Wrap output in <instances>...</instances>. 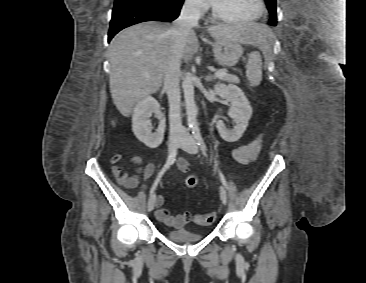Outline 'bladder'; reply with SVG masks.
<instances>
[{"label": "bladder", "instance_id": "bladder-1", "mask_svg": "<svg viewBox=\"0 0 366 283\" xmlns=\"http://www.w3.org/2000/svg\"><path fill=\"white\" fill-rule=\"evenodd\" d=\"M168 239L178 243L196 242L205 237L203 232H194L186 229L165 231Z\"/></svg>", "mask_w": 366, "mask_h": 283}]
</instances>
